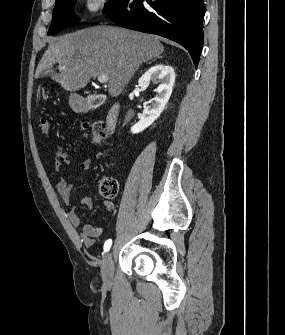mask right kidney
Listing matches in <instances>:
<instances>
[{
  "label": "right kidney",
  "instance_id": "obj_1",
  "mask_svg": "<svg viewBox=\"0 0 285 335\" xmlns=\"http://www.w3.org/2000/svg\"><path fill=\"white\" fill-rule=\"evenodd\" d=\"M160 82L155 98L151 102V106L144 108L143 114L137 124H134L131 128L132 134H138L143 132L145 128L151 126L157 118H159L161 112H163L173 90V84L175 82V74L171 66H164V64H156L152 66L148 72H145L141 78H139L138 86L141 90H146L149 82Z\"/></svg>",
  "mask_w": 285,
  "mask_h": 335
}]
</instances>
